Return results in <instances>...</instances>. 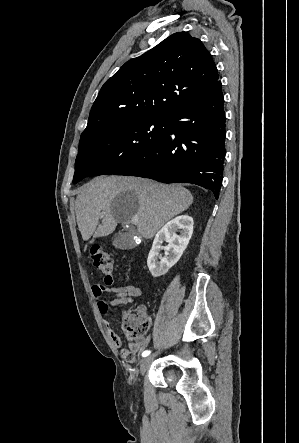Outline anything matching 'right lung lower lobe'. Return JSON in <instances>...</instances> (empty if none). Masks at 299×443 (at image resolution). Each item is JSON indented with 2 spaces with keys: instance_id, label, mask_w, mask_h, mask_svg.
Listing matches in <instances>:
<instances>
[{
  "instance_id": "right-lung-lower-lobe-1",
  "label": "right lung lower lobe",
  "mask_w": 299,
  "mask_h": 443,
  "mask_svg": "<svg viewBox=\"0 0 299 443\" xmlns=\"http://www.w3.org/2000/svg\"><path fill=\"white\" fill-rule=\"evenodd\" d=\"M222 84L168 116L163 140L145 156L114 175L150 178L163 183H193L219 197L225 156Z\"/></svg>"
}]
</instances>
